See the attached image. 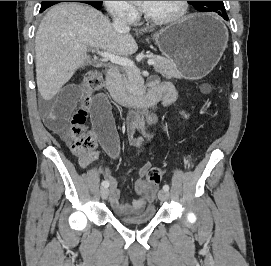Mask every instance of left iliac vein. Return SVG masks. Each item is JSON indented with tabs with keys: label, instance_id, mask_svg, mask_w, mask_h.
Returning a JSON list of instances; mask_svg holds the SVG:
<instances>
[{
	"label": "left iliac vein",
	"instance_id": "1",
	"mask_svg": "<svg viewBox=\"0 0 271 266\" xmlns=\"http://www.w3.org/2000/svg\"><path fill=\"white\" fill-rule=\"evenodd\" d=\"M158 198L159 200L161 201H166L169 199V192L168 191H165V190H160L158 192Z\"/></svg>",
	"mask_w": 271,
	"mask_h": 266
}]
</instances>
